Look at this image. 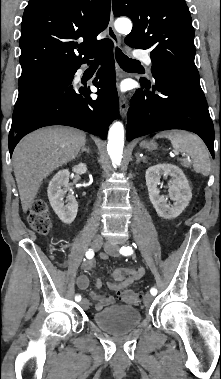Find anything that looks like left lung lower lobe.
Wrapping results in <instances>:
<instances>
[{
	"mask_svg": "<svg viewBox=\"0 0 221 379\" xmlns=\"http://www.w3.org/2000/svg\"><path fill=\"white\" fill-rule=\"evenodd\" d=\"M151 71L155 81L141 79L145 90L138 89L131 98L127 139L157 131L183 129L198 134L214 155V127L199 78L156 67Z\"/></svg>",
	"mask_w": 221,
	"mask_h": 379,
	"instance_id": "left-lung-lower-lobe-1",
	"label": "left lung lower lobe"
}]
</instances>
